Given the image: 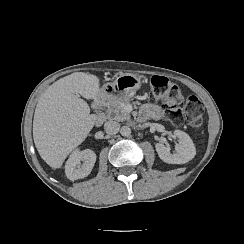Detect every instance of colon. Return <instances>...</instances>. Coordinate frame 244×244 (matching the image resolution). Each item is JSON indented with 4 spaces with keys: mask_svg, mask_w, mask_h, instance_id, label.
<instances>
[{
    "mask_svg": "<svg viewBox=\"0 0 244 244\" xmlns=\"http://www.w3.org/2000/svg\"><path fill=\"white\" fill-rule=\"evenodd\" d=\"M149 101L152 103H164V111L172 117L174 125L183 123V115L194 130L198 129L204 114V105L196 96H189L185 101L180 97V90L175 83L168 78L153 76L151 79V93Z\"/></svg>",
    "mask_w": 244,
    "mask_h": 244,
    "instance_id": "colon-1",
    "label": "colon"
}]
</instances>
